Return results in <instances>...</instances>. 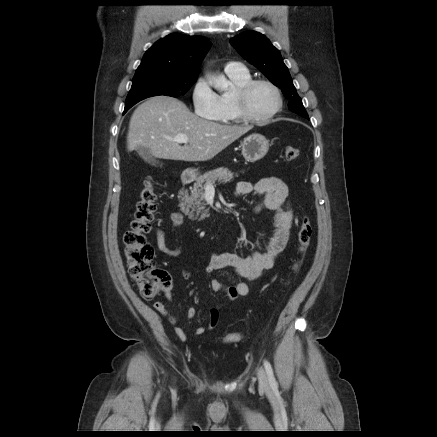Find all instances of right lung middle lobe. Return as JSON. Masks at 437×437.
Wrapping results in <instances>:
<instances>
[{
    "label": "right lung middle lobe",
    "mask_w": 437,
    "mask_h": 437,
    "mask_svg": "<svg viewBox=\"0 0 437 437\" xmlns=\"http://www.w3.org/2000/svg\"><path fill=\"white\" fill-rule=\"evenodd\" d=\"M196 79L197 76H176L158 69L136 72L131 90L126 98L124 113L137 102L148 97L158 95L182 96L190 89Z\"/></svg>",
    "instance_id": "1"
}]
</instances>
